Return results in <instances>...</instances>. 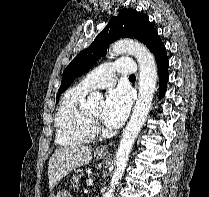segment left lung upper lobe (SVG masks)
Masks as SVG:
<instances>
[{
  "instance_id": "obj_1",
  "label": "left lung upper lobe",
  "mask_w": 209,
  "mask_h": 197,
  "mask_svg": "<svg viewBox=\"0 0 209 197\" xmlns=\"http://www.w3.org/2000/svg\"><path fill=\"white\" fill-rule=\"evenodd\" d=\"M126 37L138 39L146 44L151 52L162 43L147 15L133 9L120 10L118 16L110 19L89 48L80 52L66 67L57 99L76 77L89 70L105 54L110 43Z\"/></svg>"
}]
</instances>
